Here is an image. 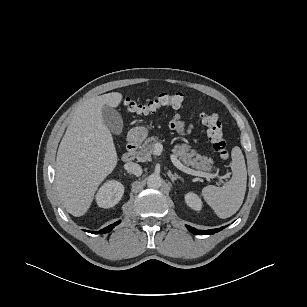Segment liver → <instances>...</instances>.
<instances>
[{
  "label": "liver",
  "instance_id": "6515ba94",
  "mask_svg": "<svg viewBox=\"0 0 307 307\" xmlns=\"http://www.w3.org/2000/svg\"><path fill=\"white\" fill-rule=\"evenodd\" d=\"M122 94L107 93L84 101L74 113L56 158V189L67 212L75 217L90 208L95 192L116 167L118 157L102 108L117 107Z\"/></svg>",
  "mask_w": 307,
  "mask_h": 307
}]
</instances>
